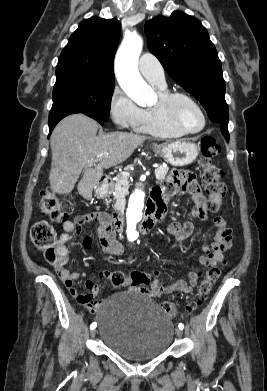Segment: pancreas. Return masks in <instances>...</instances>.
<instances>
[{
    "label": "pancreas",
    "instance_id": "pancreas-1",
    "mask_svg": "<svg viewBox=\"0 0 267 391\" xmlns=\"http://www.w3.org/2000/svg\"><path fill=\"white\" fill-rule=\"evenodd\" d=\"M169 168L159 166L155 170V175L158 180H164ZM110 189L115 192V199L119 200L123 198L127 193L128 188V178L123 177L122 175L118 176L115 181L110 183Z\"/></svg>",
    "mask_w": 267,
    "mask_h": 391
}]
</instances>
